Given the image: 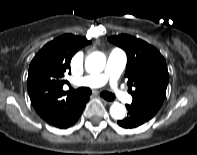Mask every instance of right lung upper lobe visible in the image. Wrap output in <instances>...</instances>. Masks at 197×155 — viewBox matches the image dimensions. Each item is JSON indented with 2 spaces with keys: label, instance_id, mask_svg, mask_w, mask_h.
I'll list each match as a JSON object with an SVG mask.
<instances>
[{
  "label": "right lung upper lobe",
  "instance_id": "cb5924a9",
  "mask_svg": "<svg viewBox=\"0 0 197 155\" xmlns=\"http://www.w3.org/2000/svg\"><path fill=\"white\" fill-rule=\"evenodd\" d=\"M91 41L72 34L62 35L47 43L29 66L27 87L31 103L37 113L49 124L58 127L79 104L82 96L63 91L65 72L71 73L74 54Z\"/></svg>",
  "mask_w": 197,
  "mask_h": 155
}]
</instances>
